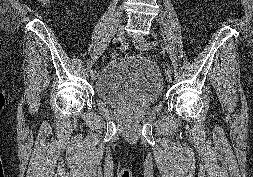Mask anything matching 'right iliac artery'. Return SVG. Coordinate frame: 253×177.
Here are the masks:
<instances>
[{
    "mask_svg": "<svg viewBox=\"0 0 253 177\" xmlns=\"http://www.w3.org/2000/svg\"><path fill=\"white\" fill-rule=\"evenodd\" d=\"M119 42H120V49H126V43L125 41L123 40V38H119ZM89 72L90 73H95L96 72V69L95 68H90L89 69Z\"/></svg>",
    "mask_w": 253,
    "mask_h": 177,
    "instance_id": "82829eb1",
    "label": "right iliac artery"
}]
</instances>
